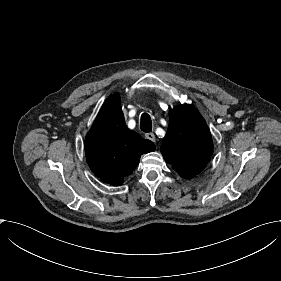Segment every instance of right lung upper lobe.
Segmentation results:
<instances>
[{"label": "right lung upper lobe", "mask_w": 281, "mask_h": 281, "mask_svg": "<svg viewBox=\"0 0 281 281\" xmlns=\"http://www.w3.org/2000/svg\"><path fill=\"white\" fill-rule=\"evenodd\" d=\"M154 150L153 142L127 128L118 93L106 100L85 139L90 169L113 186H120L134 171L142 154Z\"/></svg>", "instance_id": "cb5924a9"}]
</instances>
